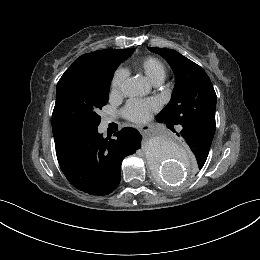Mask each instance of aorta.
Returning a JSON list of instances; mask_svg holds the SVG:
<instances>
[{
  "label": "aorta",
  "mask_w": 260,
  "mask_h": 260,
  "mask_svg": "<svg viewBox=\"0 0 260 260\" xmlns=\"http://www.w3.org/2000/svg\"><path fill=\"white\" fill-rule=\"evenodd\" d=\"M149 89L139 78H130L122 85V92L128 97L145 95ZM144 153L154 177L167 185L180 183L193 171L187 149L169 135L148 138L144 145Z\"/></svg>",
  "instance_id": "1"
}]
</instances>
